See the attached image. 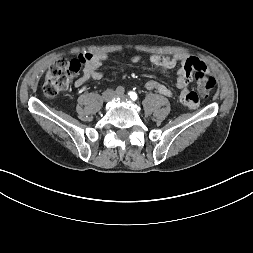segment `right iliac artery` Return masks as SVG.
Returning a JSON list of instances; mask_svg holds the SVG:
<instances>
[{
    "mask_svg": "<svg viewBox=\"0 0 253 253\" xmlns=\"http://www.w3.org/2000/svg\"><path fill=\"white\" fill-rule=\"evenodd\" d=\"M124 88L122 87V86H118L117 88H116V94H123L124 93Z\"/></svg>",
    "mask_w": 253,
    "mask_h": 253,
    "instance_id": "82829eb1",
    "label": "right iliac artery"
}]
</instances>
